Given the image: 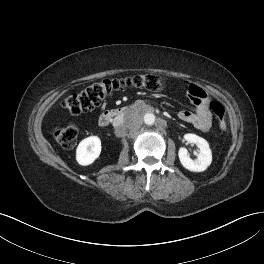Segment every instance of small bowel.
Masks as SVG:
<instances>
[{
    "mask_svg": "<svg viewBox=\"0 0 264 264\" xmlns=\"http://www.w3.org/2000/svg\"><path fill=\"white\" fill-rule=\"evenodd\" d=\"M188 96L194 106V112L182 110L178 118L186 123L191 124L196 129L208 131L212 126V116L210 111V99L207 93L197 85H188Z\"/></svg>",
    "mask_w": 264,
    "mask_h": 264,
    "instance_id": "obj_1",
    "label": "small bowel"
}]
</instances>
